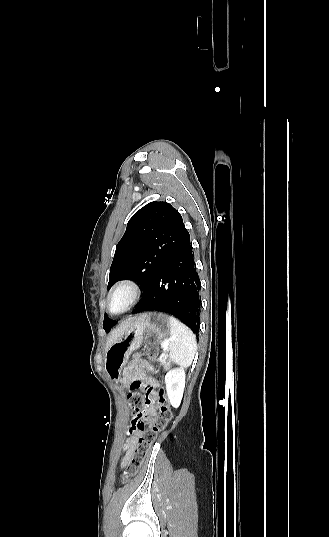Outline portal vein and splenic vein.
Returning <instances> with one entry per match:
<instances>
[{
  "label": "portal vein and splenic vein",
  "instance_id": "obj_1",
  "mask_svg": "<svg viewBox=\"0 0 329 537\" xmlns=\"http://www.w3.org/2000/svg\"><path fill=\"white\" fill-rule=\"evenodd\" d=\"M168 348V341H165L162 345V349L165 351Z\"/></svg>",
  "mask_w": 329,
  "mask_h": 537
}]
</instances>
